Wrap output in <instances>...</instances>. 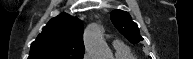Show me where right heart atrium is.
Listing matches in <instances>:
<instances>
[{"label":"right heart atrium","instance_id":"obj_1","mask_svg":"<svg viewBox=\"0 0 193 59\" xmlns=\"http://www.w3.org/2000/svg\"><path fill=\"white\" fill-rule=\"evenodd\" d=\"M84 59H90V55L88 53L84 54Z\"/></svg>","mask_w":193,"mask_h":59}]
</instances>
